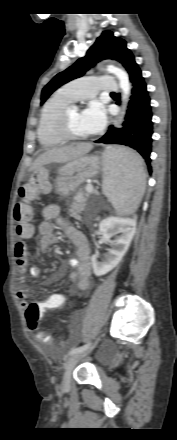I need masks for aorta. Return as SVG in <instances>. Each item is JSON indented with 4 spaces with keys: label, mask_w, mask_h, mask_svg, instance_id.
Masks as SVG:
<instances>
[{
    "label": "aorta",
    "mask_w": 177,
    "mask_h": 440,
    "mask_svg": "<svg viewBox=\"0 0 177 440\" xmlns=\"http://www.w3.org/2000/svg\"><path fill=\"white\" fill-rule=\"evenodd\" d=\"M107 70L109 72L113 73L119 80V85L122 90V104H123V111L121 112V116H123L125 113L126 104L129 100V96L131 93V85H130V81H129V76L124 70H122L118 67H115L113 65L107 66Z\"/></svg>",
    "instance_id": "aorta-1"
}]
</instances>
